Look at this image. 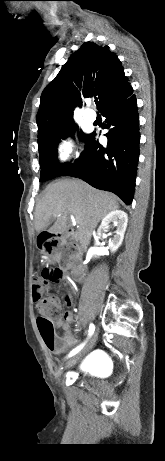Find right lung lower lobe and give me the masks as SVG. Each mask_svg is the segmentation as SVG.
Returning a JSON list of instances; mask_svg holds the SVG:
<instances>
[{
  "label": "right lung lower lobe",
  "instance_id": "obj_1",
  "mask_svg": "<svg viewBox=\"0 0 165 461\" xmlns=\"http://www.w3.org/2000/svg\"><path fill=\"white\" fill-rule=\"evenodd\" d=\"M109 131L107 147L89 134L85 151L58 176H74L95 188L118 195L127 205L132 203L139 160V118L134 94L101 112Z\"/></svg>",
  "mask_w": 165,
  "mask_h": 461
}]
</instances>
